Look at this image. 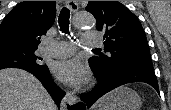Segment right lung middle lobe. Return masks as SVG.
<instances>
[{
	"mask_svg": "<svg viewBox=\"0 0 171 110\" xmlns=\"http://www.w3.org/2000/svg\"><path fill=\"white\" fill-rule=\"evenodd\" d=\"M36 49L17 45L0 46V69L4 68H34L46 70L42 58L36 55Z\"/></svg>",
	"mask_w": 171,
	"mask_h": 110,
	"instance_id": "1",
	"label": "right lung middle lobe"
}]
</instances>
